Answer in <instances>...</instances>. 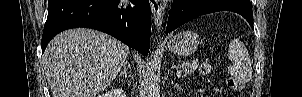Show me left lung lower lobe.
Returning a JSON list of instances; mask_svg holds the SVG:
<instances>
[{
  "instance_id": "1",
  "label": "left lung lower lobe",
  "mask_w": 302,
  "mask_h": 97,
  "mask_svg": "<svg viewBox=\"0 0 302 97\" xmlns=\"http://www.w3.org/2000/svg\"><path fill=\"white\" fill-rule=\"evenodd\" d=\"M232 11L242 15L253 28L250 0H173L167 24V33L204 14Z\"/></svg>"
}]
</instances>
